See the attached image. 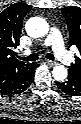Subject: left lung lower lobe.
I'll list each match as a JSON object with an SVG mask.
<instances>
[{"label":"left lung lower lobe","instance_id":"0a47b994","mask_svg":"<svg viewBox=\"0 0 81 124\" xmlns=\"http://www.w3.org/2000/svg\"><path fill=\"white\" fill-rule=\"evenodd\" d=\"M58 89L70 96H81V81L69 75L67 81L56 82Z\"/></svg>","mask_w":81,"mask_h":124}]
</instances>
